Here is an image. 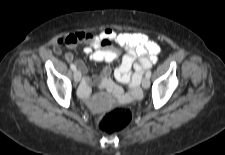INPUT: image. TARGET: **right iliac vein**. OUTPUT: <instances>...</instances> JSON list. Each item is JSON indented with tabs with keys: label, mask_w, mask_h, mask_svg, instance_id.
<instances>
[{
	"label": "right iliac vein",
	"mask_w": 225,
	"mask_h": 155,
	"mask_svg": "<svg viewBox=\"0 0 225 155\" xmlns=\"http://www.w3.org/2000/svg\"><path fill=\"white\" fill-rule=\"evenodd\" d=\"M80 80H81V73L79 70H75L74 71V81L76 83H78V82H80Z\"/></svg>",
	"instance_id": "63e3f726"
}]
</instances>
